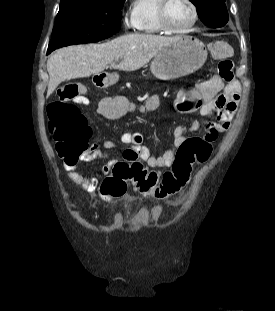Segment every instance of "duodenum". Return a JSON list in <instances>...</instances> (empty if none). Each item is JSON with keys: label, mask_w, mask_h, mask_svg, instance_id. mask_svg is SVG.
I'll list each match as a JSON object with an SVG mask.
<instances>
[{"label": "duodenum", "mask_w": 275, "mask_h": 311, "mask_svg": "<svg viewBox=\"0 0 275 311\" xmlns=\"http://www.w3.org/2000/svg\"><path fill=\"white\" fill-rule=\"evenodd\" d=\"M106 74L105 70H101L100 74H92L91 76V82L92 84H96L98 87L102 88L104 84L109 83V78L104 77L103 75Z\"/></svg>", "instance_id": "410a0bca"}]
</instances>
